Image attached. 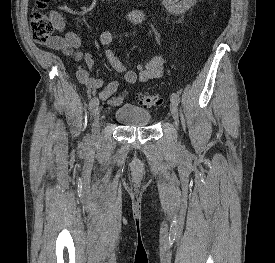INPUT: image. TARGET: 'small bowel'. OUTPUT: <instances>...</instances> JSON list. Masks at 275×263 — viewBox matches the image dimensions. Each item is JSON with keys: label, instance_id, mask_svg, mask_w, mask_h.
<instances>
[{"label": "small bowel", "instance_id": "1", "mask_svg": "<svg viewBox=\"0 0 275 263\" xmlns=\"http://www.w3.org/2000/svg\"><path fill=\"white\" fill-rule=\"evenodd\" d=\"M52 21L59 31H64V22L57 13L52 14ZM123 18L133 24L143 25L147 20V15L139 10H127ZM113 41V34L109 30L103 31L99 36V43L105 47V57L111 67L123 76L126 83L131 85L145 83L149 80L159 79L164 73L165 60L161 56H154L149 60L137 65L136 70L127 69L126 66L116 56L110 48ZM50 49L61 51L66 56L78 62L75 70L77 80L87 89L91 95H97L102 101H107L112 106H119L127 98L126 91L117 94L119 83L112 81L105 84L101 78L94 77L91 73L94 60L93 56L82 51L81 40L74 32H64L60 36H54L46 43ZM101 89L100 91H98Z\"/></svg>", "mask_w": 275, "mask_h": 263}]
</instances>
